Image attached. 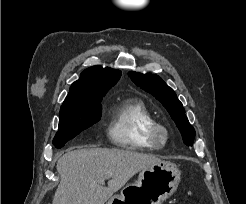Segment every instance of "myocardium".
Wrapping results in <instances>:
<instances>
[{
  "label": "myocardium",
  "mask_w": 246,
  "mask_h": 204,
  "mask_svg": "<svg viewBox=\"0 0 246 204\" xmlns=\"http://www.w3.org/2000/svg\"><path fill=\"white\" fill-rule=\"evenodd\" d=\"M169 137L170 133L168 128L160 122L152 124L147 132L148 140L157 148L164 147L167 144Z\"/></svg>",
  "instance_id": "f54148a6"
}]
</instances>
